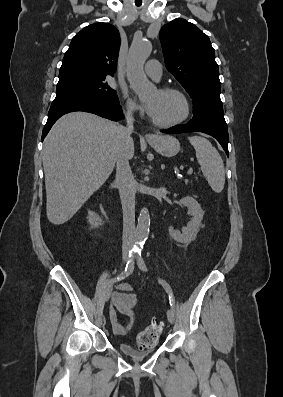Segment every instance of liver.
<instances>
[{
  "instance_id": "6515ba94",
  "label": "liver",
  "mask_w": 283,
  "mask_h": 397,
  "mask_svg": "<svg viewBox=\"0 0 283 397\" xmlns=\"http://www.w3.org/2000/svg\"><path fill=\"white\" fill-rule=\"evenodd\" d=\"M120 126L86 112L61 117L44 140L46 213L55 225L70 220L112 173L121 149L134 156L131 138L124 143Z\"/></svg>"
}]
</instances>
